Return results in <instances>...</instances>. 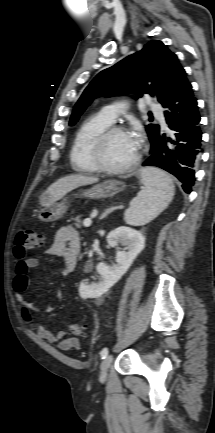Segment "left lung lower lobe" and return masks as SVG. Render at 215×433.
Listing matches in <instances>:
<instances>
[{
    "mask_svg": "<svg viewBox=\"0 0 215 433\" xmlns=\"http://www.w3.org/2000/svg\"><path fill=\"white\" fill-rule=\"evenodd\" d=\"M171 135L159 131L151 142V156L143 166H156L177 177L186 193L194 185L201 153L202 132L197 99L187 78L173 90L162 104Z\"/></svg>",
    "mask_w": 215,
    "mask_h": 433,
    "instance_id": "0a47b994",
    "label": "left lung lower lobe"
}]
</instances>
